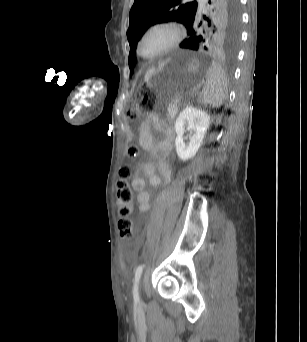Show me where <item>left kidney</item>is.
I'll use <instances>...</instances> for the list:
<instances>
[{
	"label": "left kidney",
	"instance_id": "left-kidney-1",
	"mask_svg": "<svg viewBox=\"0 0 307 342\" xmlns=\"http://www.w3.org/2000/svg\"><path fill=\"white\" fill-rule=\"evenodd\" d=\"M209 122L210 116H208L206 112L198 110V108H193V106H186V108L180 112L174 126V130L177 134L175 148L179 160L186 162V160L194 158L203 142ZM185 128L192 134L188 144H185L183 138L186 132Z\"/></svg>",
	"mask_w": 307,
	"mask_h": 342
}]
</instances>
